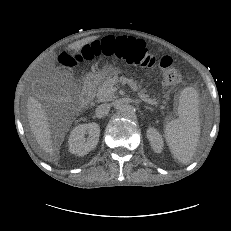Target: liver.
Returning a JSON list of instances; mask_svg holds the SVG:
<instances>
[{"mask_svg":"<svg viewBox=\"0 0 231 231\" xmlns=\"http://www.w3.org/2000/svg\"><path fill=\"white\" fill-rule=\"evenodd\" d=\"M96 39H98V37L93 36L76 41L68 45L67 51H72L75 53L79 52L84 45L90 44ZM27 115L31 131L40 149L42 150L44 157L48 160L56 158L57 156L51 139L50 124L48 122L45 108L37 99L32 96L28 98Z\"/></svg>","mask_w":231,"mask_h":231,"instance_id":"6515ba94","label":"liver"}]
</instances>
